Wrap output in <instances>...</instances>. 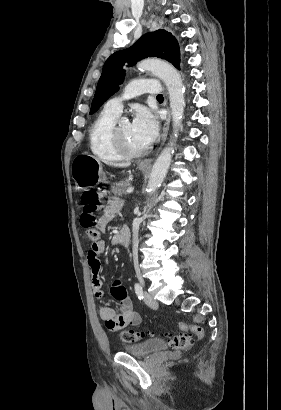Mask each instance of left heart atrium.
<instances>
[{"mask_svg":"<svg viewBox=\"0 0 281 410\" xmlns=\"http://www.w3.org/2000/svg\"><path fill=\"white\" fill-rule=\"evenodd\" d=\"M131 124L134 136L144 146L151 144L157 137L158 122L148 109L138 108Z\"/></svg>","mask_w":281,"mask_h":410,"instance_id":"1","label":"left heart atrium"}]
</instances>
